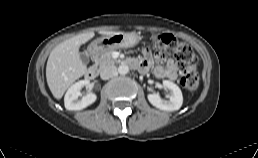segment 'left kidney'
<instances>
[{"label": "left kidney", "instance_id": "1", "mask_svg": "<svg viewBox=\"0 0 258 158\" xmlns=\"http://www.w3.org/2000/svg\"><path fill=\"white\" fill-rule=\"evenodd\" d=\"M163 86L172 91V95L168 100L162 99L161 96L157 93L148 94L147 98L149 102L165 111H176L179 110L183 103V96L180 88L173 82L169 80H163Z\"/></svg>", "mask_w": 258, "mask_h": 158}]
</instances>
